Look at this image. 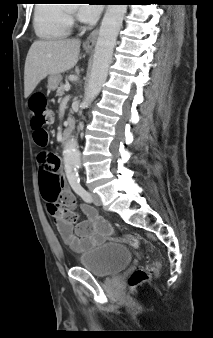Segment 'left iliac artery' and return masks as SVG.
Returning a JSON list of instances; mask_svg holds the SVG:
<instances>
[{
    "label": "left iliac artery",
    "instance_id": "1",
    "mask_svg": "<svg viewBox=\"0 0 213 338\" xmlns=\"http://www.w3.org/2000/svg\"><path fill=\"white\" fill-rule=\"evenodd\" d=\"M71 186L75 193H77L85 202L90 203L92 201L91 195L82 187L80 182H76Z\"/></svg>",
    "mask_w": 213,
    "mask_h": 338
}]
</instances>
